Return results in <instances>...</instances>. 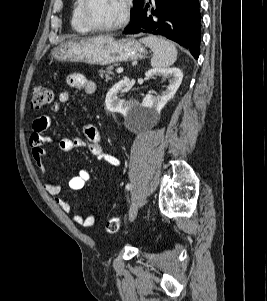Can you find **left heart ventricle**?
<instances>
[{"label": "left heart ventricle", "mask_w": 267, "mask_h": 301, "mask_svg": "<svg viewBox=\"0 0 267 301\" xmlns=\"http://www.w3.org/2000/svg\"><path fill=\"white\" fill-rule=\"evenodd\" d=\"M123 12V0H91L88 14L98 25L115 23Z\"/></svg>", "instance_id": "b2bd125f"}]
</instances>
